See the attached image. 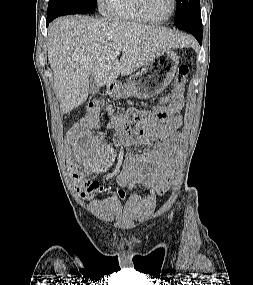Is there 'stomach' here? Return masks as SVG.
I'll use <instances>...</instances> for the list:
<instances>
[{"label":"stomach","mask_w":253,"mask_h":285,"mask_svg":"<svg viewBox=\"0 0 253 285\" xmlns=\"http://www.w3.org/2000/svg\"><path fill=\"white\" fill-rule=\"evenodd\" d=\"M179 64V57L171 49L155 55L142 70L132 75L127 83L112 82L107 85V93L116 99L135 96L139 99L151 98L162 92L173 79Z\"/></svg>","instance_id":"1"}]
</instances>
